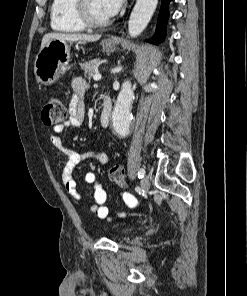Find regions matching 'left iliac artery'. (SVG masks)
<instances>
[{
	"instance_id": "44dca946",
	"label": "left iliac artery",
	"mask_w": 247,
	"mask_h": 296,
	"mask_svg": "<svg viewBox=\"0 0 247 296\" xmlns=\"http://www.w3.org/2000/svg\"><path fill=\"white\" fill-rule=\"evenodd\" d=\"M144 174H145V170L143 169V168H141L139 171H138V178H143V176H144Z\"/></svg>"
}]
</instances>
